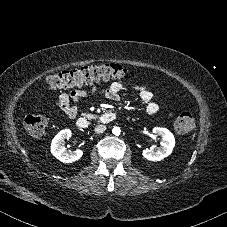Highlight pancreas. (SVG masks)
I'll return each mask as SVG.
<instances>
[{
    "mask_svg": "<svg viewBox=\"0 0 227 227\" xmlns=\"http://www.w3.org/2000/svg\"><path fill=\"white\" fill-rule=\"evenodd\" d=\"M82 115L85 116L86 118L90 119V120L97 118V116L96 115H93V114L83 113Z\"/></svg>",
    "mask_w": 227,
    "mask_h": 227,
    "instance_id": "obj_1",
    "label": "pancreas"
}]
</instances>
